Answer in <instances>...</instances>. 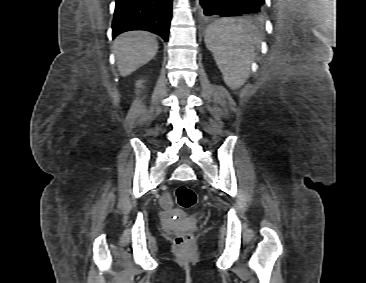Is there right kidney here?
I'll list each match as a JSON object with an SVG mask.
<instances>
[{
  "label": "right kidney",
  "instance_id": "1",
  "mask_svg": "<svg viewBox=\"0 0 366 283\" xmlns=\"http://www.w3.org/2000/svg\"><path fill=\"white\" fill-rule=\"evenodd\" d=\"M142 82H143V81H138V82H137V84H136V85H137V87H140V86H141V84H142Z\"/></svg>",
  "mask_w": 366,
  "mask_h": 283
}]
</instances>
